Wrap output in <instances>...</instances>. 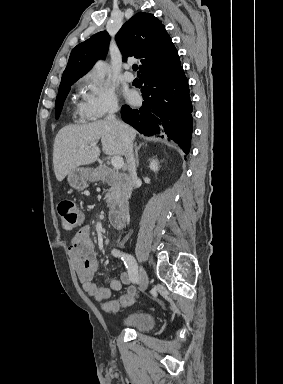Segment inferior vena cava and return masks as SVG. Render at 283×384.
<instances>
[{
	"label": "inferior vena cava",
	"instance_id": "inferior-vena-cava-1",
	"mask_svg": "<svg viewBox=\"0 0 283 384\" xmlns=\"http://www.w3.org/2000/svg\"><path fill=\"white\" fill-rule=\"evenodd\" d=\"M115 112H118V106L117 104H114V106H111L109 108L108 116H106V120H109V122H113V124H116V126H119L116 118H115ZM121 140L124 144V152H125V158L126 162L128 164V172L131 176L132 180V188L135 186V182L137 180V174H136V164H135V158L133 154V144L132 140H130L129 136L121 130L120 132Z\"/></svg>",
	"mask_w": 283,
	"mask_h": 384
}]
</instances>
